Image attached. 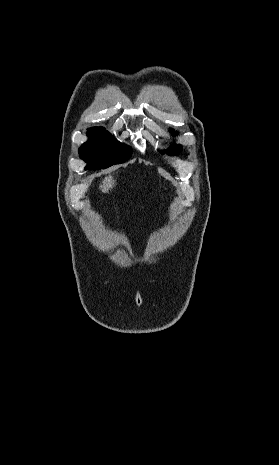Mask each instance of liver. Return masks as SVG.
<instances>
[{"label":"liver","instance_id":"6515ba94","mask_svg":"<svg viewBox=\"0 0 279 465\" xmlns=\"http://www.w3.org/2000/svg\"><path fill=\"white\" fill-rule=\"evenodd\" d=\"M114 185H115V180L113 179L111 175H109L103 179L102 184L100 185L99 188L102 190V192L108 193L109 190H111Z\"/></svg>","mask_w":279,"mask_h":465}]
</instances>
